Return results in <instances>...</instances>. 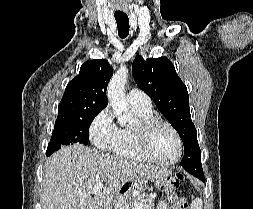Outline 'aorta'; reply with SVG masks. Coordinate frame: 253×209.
Returning a JSON list of instances; mask_svg holds the SVG:
<instances>
[{
	"instance_id": "762f6f07",
	"label": "aorta",
	"mask_w": 253,
	"mask_h": 209,
	"mask_svg": "<svg viewBox=\"0 0 253 209\" xmlns=\"http://www.w3.org/2000/svg\"><path fill=\"white\" fill-rule=\"evenodd\" d=\"M128 78V69L121 66L113 75L107 88L109 103L120 125H128L133 122L132 115L128 112L125 98V84Z\"/></svg>"
}]
</instances>
